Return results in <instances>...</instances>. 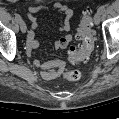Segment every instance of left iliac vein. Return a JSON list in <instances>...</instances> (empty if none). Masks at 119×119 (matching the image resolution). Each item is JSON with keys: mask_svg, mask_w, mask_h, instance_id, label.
Segmentation results:
<instances>
[{"mask_svg": "<svg viewBox=\"0 0 119 119\" xmlns=\"http://www.w3.org/2000/svg\"><path fill=\"white\" fill-rule=\"evenodd\" d=\"M101 15H102V13L99 12V11H97V12L95 13L93 20H94V23H95L96 25H98V24L100 23Z\"/></svg>", "mask_w": 119, "mask_h": 119, "instance_id": "obj_1", "label": "left iliac vein"}]
</instances>
